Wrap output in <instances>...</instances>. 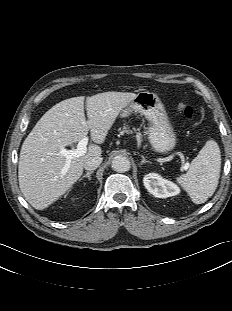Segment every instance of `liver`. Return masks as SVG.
Instances as JSON below:
<instances>
[{
	"mask_svg": "<svg viewBox=\"0 0 232 311\" xmlns=\"http://www.w3.org/2000/svg\"><path fill=\"white\" fill-rule=\"evenodd\" d=\"M135 97V93L114 91L88 97V120L85 97H73L57 103L40 118L22 144L18 165L20 190L32 207L43 210L51 205L77 182L85 161L102 154L100 146L90 144L62 174L66 158L59 153L61 147L79 142L88 131L95 143H103L119 113Z\"/></svg>",
	"mask_w": 232,
	"mask_h": 311,
	"instance_id": "6515ba94",
	"label": "liver"
}]
</instances>
